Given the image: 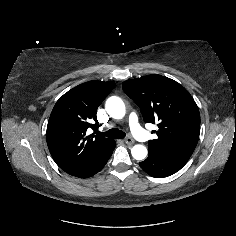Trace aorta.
<instances>
[{
  "instance_id": "762f6f07",
  "label": "aorta",
  "mask_w": 236,
  "mask_h": 236,
  "mask_svg": "<svg viewBox=\"0 0 236 236\" xmlns=\"http://www.w3.org/2000/svg\"><path fill=\"white\" fill-rule=\"evenodd\" d=\"M105 108L107 113L114 119L123 118L126 112L124 102L117 96L109 97L106 101ZM147 153V148L144 145L137 144L131 149V154L136 160L145 159Z\"/></svg>"
}]
</instances>
